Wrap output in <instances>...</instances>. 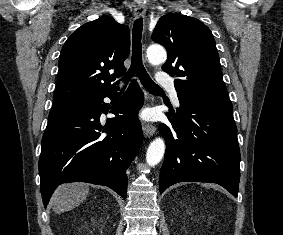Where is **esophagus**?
Returning a JSON list of instances; mask_svg holds the SVG:
<instances>
[{"mask_svg":"<svg viewBox=\"0 0 283 235\" xmlns=\"http://www.w3.org/2000/svg\"><path fill=\"white\" fill-rule=\"evenodd\" d=\"M145 13H146V8L144 5L142 4L135 5L134 7L135 18L144 17ZM142 129L146 137H151L156 132V127L152 124L144 123Z\"/></svg>","mask_w":283,"mask_h":235,"instance_id":"1","label":"esophagus"}]
</instances>
